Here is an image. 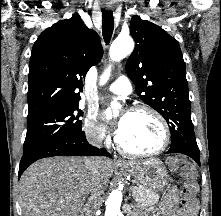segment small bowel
<instances>
[{"label":"small bowel","mask_w":221,"mask_h":216,"mask_svg":"<svg viewBox=\"0 0 221 216\" xmlns=\"http://www.w3.org/2000/svg\"><path fill=\"white\" fill-rule=\"evenodd\" d=\"M178 198L177 190H170L155 216H196V208L193 211H187L183 207L180 208Z\"/></svg>","instance_id":"c3829d8e"}]
</instances>
